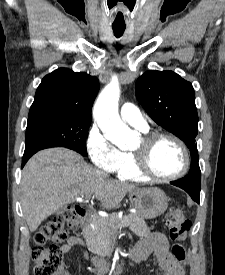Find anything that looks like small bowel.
<instances>
[{
    "label": "small bowel",
    "instance_id": "1",
    "mask_svg": "<svg viewBox=\"0 0 225 275\" xmlns=\"http://www.w3.org/2000/svg\"><path fill=\"white\" fill-rule=\"evenodd\" d=\"M83 240L78 236H71L67 242L61 246L64 254L71 253L74 248L82 247ZM137 261H144L150 255H155L161 275H186L183 267L169 252L167 238L158 232L152 233L141 239L133 248L132 252ZM63 275H70L64 272Z\"/></svg>",
    "mask_w": 225,
    "mask_h": 275
}]
</instances>
